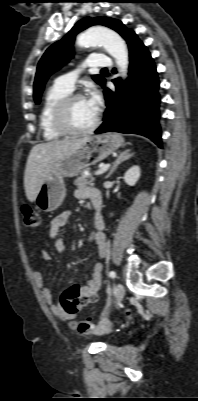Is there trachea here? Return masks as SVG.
<instances>
[{"label":"trachea","instance_id":"obj_1","mask_svg":"<svg viewBox=\"0 0 198 401\" xmlns=\"http://www.w3.org/2000/svg\"><path fill=\"white\" fill-rule=\"evenodd\" d=\"M102 71H107V69H106V68H103Z\"/></svg>","mask_w":198,"mask_h":401}]
</instances>
